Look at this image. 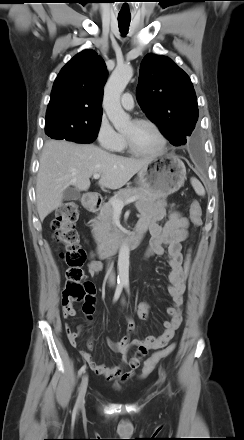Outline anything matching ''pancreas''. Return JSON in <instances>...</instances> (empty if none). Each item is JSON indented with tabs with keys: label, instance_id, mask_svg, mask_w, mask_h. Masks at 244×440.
Here are the masks:
<instances>
[{
	"label": "pancreas",
	"instance_id": "pancreas-1",
	"mask_svg": "<svg viewBox=\"0 0 244 440\" xmlns=\"http://www.w3.org/2000/svg\"><path fill=\"white\" fill-rule=\"evenodd\" d=\"M134 196L139 198V202L148 203L154 207H158L160 199L163 198L159 195L147 193L142 188H125L115 193L111 200L118 199L125 201ZM111 200L103 204L97 217L91 221L93 237L99 245L111 242L119 235L113 223L115 210L111 204Z\"/></svg>",
	"mask_w": 244,
	"mask_h": 440
}]
</instances>
